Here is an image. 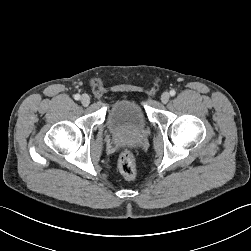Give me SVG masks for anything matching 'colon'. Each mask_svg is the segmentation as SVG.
Wrapping results in <instances>:
<instances>
[{
  "label": "colon",
  "instance_id": "1",
  "mask_svg": "<svg viewBox=\"0 0 251 251\" xmlns=\"http://www.w3.org/2000/svg\"><path fill=\"white\" fill-rule=\"evenodd\" d=\"M118 166L122 176L126 180L132 181L136 178L137 176L136 160L132 152L130 151L123 152L119 157Z\"/></svg>",
  "mask_w": 251,
  "mask_h": 251
}]
</instances>
